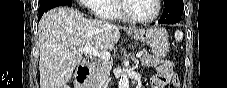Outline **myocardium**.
<instances>
[{
  "instance_id": "1",
  "label": "myocardium",
  "mask_w": 227,
  "mask_h": 88,
  "mask_svg": "<svg viewBox=\"0 0 227 88\" xmlns=\"http://www.w3.org/2000/svg\"><path fill=\"white\" fill-rule=\"evenodd\" d=\"M129 1L132 0H120L119 3V9H120V13L121 15L128 21L132 22V23H137V24H147L150 23L152 21H154L160 14L161 12V1L160 0H154L155 1V5H156V12L153 16L148 17V18H136L133 17L132 15H130V13L127 10V3Z\"/></svg>"
}]
</instances>
